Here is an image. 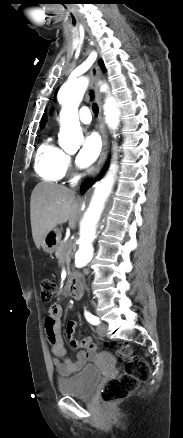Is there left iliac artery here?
Masks as SVG:
<instances>
[{
  "label": "left iliac artery",
  "instance_id": "obj_1",
  "mask_svg": "<svg viewBox=\"0 0 183 438\" xmlns=\"http://www.w3.org/2000/svg\"><path fill=\"white\" fill-rule=\"evenodd\" d=\"M85 317L87 321L93 325H98L100 323L99 318L92 315L90 312H85Z\"/></svg>",
  "mask_w": 183,
  "mask_h": 438
}]
</instances>
